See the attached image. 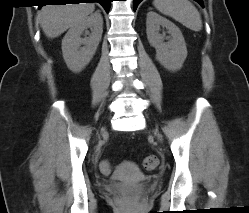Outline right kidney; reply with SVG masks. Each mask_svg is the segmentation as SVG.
Listing matches in <instances>:
<instances>
[{
  "mask_svg": "<svg viewBox=\"0 0 249 213\" xmlns=\"http://www.w3.org/2000/svg\"><path fill=\"white\" fill-rule=\"evenodd\" d=\"M88 28L91 33L86 32L88 37L82 38L81 35ZM102 33L103 18L100 11H96L68 30L62 40V53L71 71L78 73L89 64L101 41Z\"/></svg>",
  "mask_w": 249,
  "mask_h": 213,
  "instance_id": "1",
  "label": "right kidney"
}]
</instances>
